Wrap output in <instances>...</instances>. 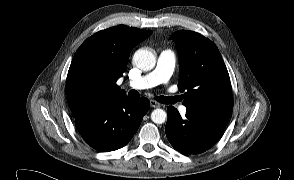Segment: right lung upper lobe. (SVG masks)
I'll return each mask as SVG.
<instances>
[{"label": "right lung upper lobe", "mask_w": 294, "mask_h": 180, "mask_svg": "<svg viewBox=\"0 0 294 180\" xmlns=\"http://www.w3.org/2000/svg\"><path fill=\"white\" fill-rule=\"evenodd\" d=\"M151 33L118 25L99 31L82 43L72 59L66 82L67 102L73 114L126 96L116 81L123 76L133 47Z\"/></svg>", "instance_id": "cb5924a9"}]
</instances>
